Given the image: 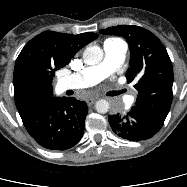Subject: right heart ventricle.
I'll use <instances>...</instances> for the list:
<instances>
[{
  "label": "right heart ventricle",
  "instance_id": "e07e8e85",
  "mask_svg": "<svg viewBox=\"0 0 187 187\" xmlns=\"http://www.w3.org/2000/svg\"><path fill=\"white\" fill-rule=\"evenodd\" d=\"M111 40H117V39H108V40H106L105 42H107V41H111Z\"/></svg>",
  "mask_w": 187,
  "mask_h": 187
}]
</instances>
